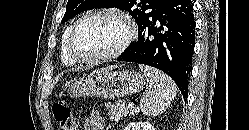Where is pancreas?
<instances>
[{
	"mask_svg": "<svg viewBox=\"0 0 249 130\" xmlns=\"http://www.w3.org/2000/svg\"><path fill=\"white\" fill-rule=\"evenodd\" d=\"M108 115L110 119L118 121L127 115H133L132 109L128 108L125 101H118L115 104L108 106Z\"/></svg>",
	"mask_w": 249,
	"mask_h": 130,
	"instance_id": "pancreas-1",
	"label": "pancreas"
}]
</instances>
